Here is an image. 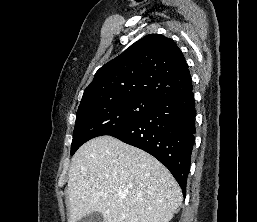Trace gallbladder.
Instances as JSON below:
<instances>
[{
	"mask_svg": "<svg viewBox=\"0 0 257 222\" xmlns=\"http://www.w3.org/2000/svg\"><path fill=\"white\" fill-rule=\"evenodd\" d=\"M79 222H104V218L101 213L93 212L83 217Z\"/></svg>",
	"mask_w": 257,
	"mask_h": 222,
	"instance_id": "gallbladder-1",
	"label": "gallbladder"
}]
</instances>
